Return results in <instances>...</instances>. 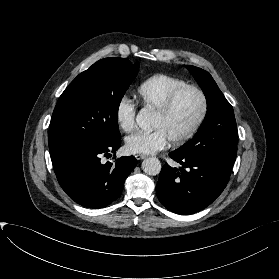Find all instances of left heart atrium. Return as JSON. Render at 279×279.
<instances>
[{"label":"left heart atrium","mask_w":279,"mask_h":279,"mask_svg":"<svg viewBox=\"0 0 279 279\" xmlns=\"http://www.w3.org/2000/svg\"><path fill=\"white\" fill-rule=\"evenodd\" d=\"M169 141L164 131L157 128L151 132H136L128 136L125 147L129 153L152 154L163 150Z\"/></svg>","instance_id":"1"}]
</instances>
